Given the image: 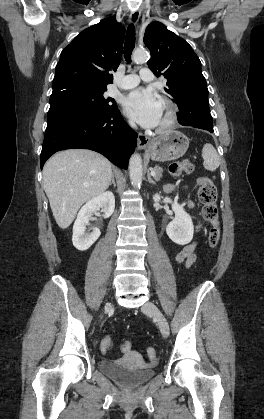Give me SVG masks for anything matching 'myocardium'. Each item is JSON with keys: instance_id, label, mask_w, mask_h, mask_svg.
Segmentation results:
<instances>
[{"instance_id": "obj_1", "label": "myocardium", "mask_w": 264, "mask_h": 419, "mask_svg": "<svg viewBox=\"0 0 264 419\" xmlns=\"http://www.w3.org/2000/svg\"><path fill=\"white\" fill-rule=\"evenodd\" d=\"M160 103L164 109V118L158 126L157 131L165 132L175 125L177 121L178 108L172 100L165 97L160 99Z\"/></svg>"}]
</instances>
